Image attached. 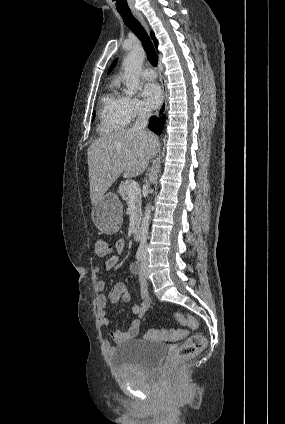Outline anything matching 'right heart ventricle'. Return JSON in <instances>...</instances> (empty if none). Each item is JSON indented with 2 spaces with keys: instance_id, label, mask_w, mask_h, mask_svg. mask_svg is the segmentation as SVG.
<instances>
[{
  "instance_id": "1",
  "label": "right heart ventricle",
  "mask_w": 285,
  "mask_h": 424,
  "mask_svg": "<svg viewBox=\"0 0 285 424\" xmlns=\"http://www.w3.org/2000/svg\"><path fill=\"white\" fill-rule=\"evenodd\" d=\"M128 122L126 97L113 81L101 98L98 130L101 133H113L124 128Z\"/></svg>"
}]
</instances>
